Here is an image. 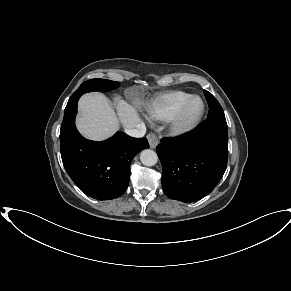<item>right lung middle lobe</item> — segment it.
Wrapping results in <instances>:
<instances>
[{"label": "right lung middle lobe", "mask_w": 291, "mask_h": 291, "mask_svg": "<svg viewBox=\"0 0 291 291\" xmlns=\"http://www.w3.org/2000/svg\"><path fill=\"white\" fill-rule=\"evenodd\" d=\"M119 86L118 82L106 80V79H91L87 80L80 85V87L74 92L72 98L79 99L80 96L86 92L100 91L108 92Z\"/></svg>", "instance_id": "dd1d6c3e"}]
</instances>
